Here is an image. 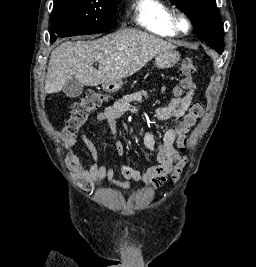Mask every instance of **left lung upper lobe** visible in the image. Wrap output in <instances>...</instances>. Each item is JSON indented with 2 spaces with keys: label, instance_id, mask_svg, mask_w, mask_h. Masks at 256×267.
Returning a JSON list of instances; mask_svg holds the SVG:
<instances>
[{
  "label": "left lung upper lobe",
  "instance_id": "left-lung-upper-lobe-1",
  "mask_svg": "<svg viewBox=\"0 0 256 267\" xmlns=\"http://www.w3.org/2000/svg\"><path fill=\"white\" fill-rule=\"evenodd\" d=\"M190 17L196 35L219 54L223 52V28L215 0H170Z\"/></svg>",
  "mask_w": 256,
  "mask_h": 267
}]
</instances>
